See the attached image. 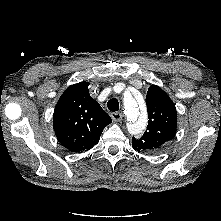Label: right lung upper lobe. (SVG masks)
<instances>
[{"mask_svg": "<svg viewBox=\"0 0 221 221\" xmlns=\"http://www.w3.org/2000/svg\"><path fill=\"white\" fill-rule=\"evenodd\" d=\"M89 83L71 85L60 97L53 115L58 141L69 151L89 150L99 142L112 120L89 94Z\"/></svg>", "mask_w": 221, "mask_h": 221, "instance_id": "right-lung-upper-lobe-1", "label": "right lung upper lobe"}]
</instances>
